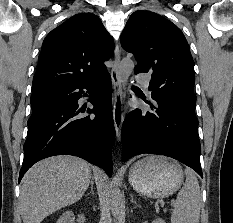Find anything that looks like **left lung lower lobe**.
<instances>
[{
  "label": "left lung lower lobe",
  "instance_id": "1",
  "mask_svg": "<svg viewBox=\"0 0 233 223\" xmlns=\"http://www.w3.org/2000/svg\"><path fill=\"white\" fill-rule=\"evenodd\" d=\"M150 107L154 113L135 109L123 122V161L143 153L165 155L203 178L195 104L168 100L156 101Z\"/></svg>",
  "mask_w": 233,
  "mask_h": 223
}]
</instances>
